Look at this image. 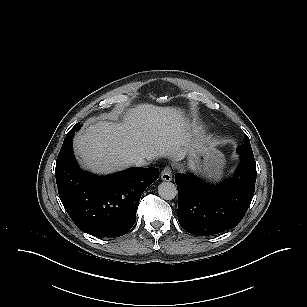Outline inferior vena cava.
I'll list each match as a JSON object with an SVG mask.
<instances>
[{
	"label": "inferior vena cava",
	"instance_id": "obj_1",
	"mask_svg": "<svg viewBox=\"0 0 307 307\" xmlns=\"http://www.w3.org/2000/svg\"><path fill=\"white\" fill-rule=\"evenodd\" d=\"M149 164V161L148 160H146V159H138V160H136L135 162H134V165H136V166H146V165H148Z\"/></svg>",
	"mask_w": 307,
	"mask_h": 307
}]
</instances>
